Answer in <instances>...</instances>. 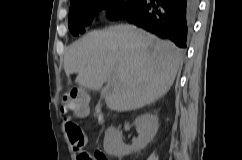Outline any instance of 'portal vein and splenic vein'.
Segmentation results:
<instances>
[{"mask_svg":"<svg viewBox=\"0 0 242 160\" xmlns=\"http://www.w3.org/2000/svg\"><path fill=\"white\" fill-rule=\"evenodd\" d=\"M112 84L115 82V80L114 79H110L109 80Z\"/></svg>","mask_w":242,"mask_h":160,"instance_id":"portal-vein-and-splenic-vein-1","label":"portal vein and splenic vein"}]
</instances>
